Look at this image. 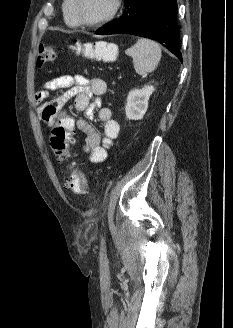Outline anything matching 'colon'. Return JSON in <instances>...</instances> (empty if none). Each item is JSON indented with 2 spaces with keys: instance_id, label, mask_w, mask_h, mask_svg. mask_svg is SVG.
I'll return each mask as SVG.
<instances>
[{
  "instance_id": "obj_1",
  "label": "colon",
  "mask_w": 233,
  "mask_h": 328,
  "mask_svg": "<svg viewBox=\"0 0 233 328\" xmlns=\"http://www.w3.org/2000/svg\"><path fill=\"white\" fill-rule=\"evenodd\" d=\"M70 50L90 59L113 60L115 49L108 44H74ZM55 58V51L50 46L41 45L38 49L36 64L42 67ZM75 128L74 119L65 112L57 114L51 127L50 145L58 161L69 168L68 186L76 193L85 194L90 191L89 183L80 167L70 158L69 144Z\"/></svg>"
}]
</instances>
